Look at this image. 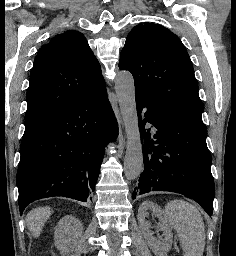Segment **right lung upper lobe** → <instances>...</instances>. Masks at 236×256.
I'll return each mask as SVG.
<instances>
[{"label": "right lung upper lobe", "instance_id": "right-lung-upper-lobe-1", "mask_svg": "<svg viewBox=\"0 0 236 256\" xmlns=\"http://www.w3.org/2000/svg\"><path fill=\"white\" fill-rule=\"evenodd\" d=\"M104 88L100 65L84 35L78 31L58 34L35 58L25 123H41Z\"/></svg>", "mask_w": 236, "mask_h": 256}]
</instances>
